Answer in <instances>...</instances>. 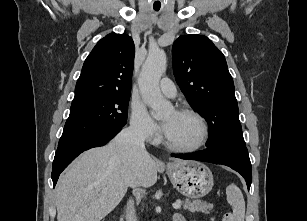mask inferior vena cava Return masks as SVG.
I'll list each match as a JSON object with an SVG mask.
<instances>
[{
	"mask_svg": "<svg viewBox=\"0 0 307 221\" xmlns=\"http://www.w3.org/2000/svg\"><path fill=\"white\" fill-rule=\"evenodd\" d=\"M115 141L119 144L130 147L133 151H138L139 153H146L144 141L145 133L144 130L139 126H130L123 129L115 138ZM127 221H137L135 214L134 202L129 201L127 210Z\"/></svg>",
	"mask_w": 307,
	"mask_h": 221,
	"instance_id": "obj_1",
	"label": "inferior vena cava"
}]
</instances>
